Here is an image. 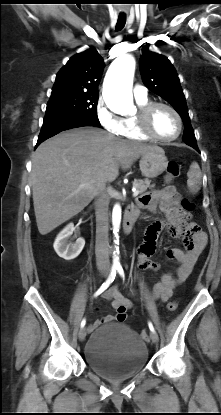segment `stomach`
I'll use <instances>...</instances> for the list:
<instances>
[{
  "instance_id": "1",
  "label": "stomach",
  "mask_w": 221,
  "mask_h": 415,
  "mask_svg": "<svg viewBox=\"0 0 221 415\" xmlns=\"http://www.w3.org/2000/svg\"><path fill=\"white\" fill-rule=\"evenodd\" d=\"M168 160L161 148H155L141 156L139 161L140 170L147 178H156L167 168Z\"/></svg>"
}]
</instances>
